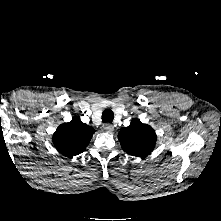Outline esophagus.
Wrapping results in <instances>:
<instances>
[{
  "label": "esophagus",
  "instance_id": "1",
  "mask_svg": "<svg viewBox=\"0 0 221 221\" xmlns=\"http://www.w3.org/2000/svg\"><path fill=\"white\" fill-rule=\"evenodd\" d=\"M104 130L108 133L112 132L114 130V126L110 123L104 124Z\"/></svg>",
  "mask_w": 221,
  "mask_h": 221
}]
</instances>
